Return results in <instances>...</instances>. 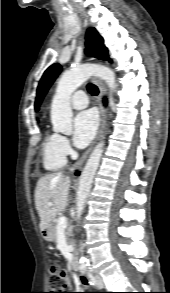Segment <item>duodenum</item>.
<instances>
[{
    "label": "duodenum",
    "instance_id": "1",
    "mask_svg": "<svg viewBox=\"0 0 170 293\" xmlns=\"http://www.w3.org/2000/svg\"><path fill=\"white\" fill-rule=\"evenodd\" d=\"M42 234L43 235L47 234V229L46 228H44L42 230ZM72 266H73L74 270H79V261H78V258L76 256L72 259Z\"/></svg>",
    "mask_w": 170,
    "mask_h": 293
}]
</instances>
